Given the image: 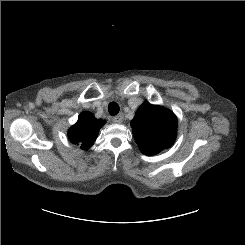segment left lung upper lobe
<instances>
[{
    "mask_svg": "<svg viewBox=\"0 0 245 245\" xmlns=\"http://www.w3.org/2000/svg\"><path fill=\"white\" fill-rule=\"evenodd\" d=\"M131 127L141 152L151 156L173 144L177 118L168 109L144 102L131 121Z\"/></svg>",
    "mask_w": 245,
    "mask_h": 245,
    "instance_id": "1",
    "label": "left lung upper lobe"
}]
</instances>
